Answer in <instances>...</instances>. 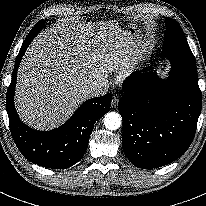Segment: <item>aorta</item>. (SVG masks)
<instances>
[{
  "label": "aorta",
  "mask_w": 206,
  "mask_h": 206,
  "mask_svg": "<svg viewBox=\"0 0 206 206\" xmlns=\"http://www.w3.org/2000/svg\"><path fill=\"white\" fill-rule=\"evenodd\" d=\"M104 125L108 130H117L121 126V116L117 112H109L105 115Z\"/></svg>",
  "instance_id": "aorta-1"
}]
</instances>
